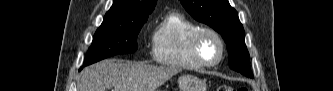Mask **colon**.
I'll return each instance as SVG.
<instances>
[{"label":"colon","instance_id":"obj_1","mask_svg":"<svg viewBox=\"0 0 333 91\" xmlns=\"http://www.w3.org/2000/svg\"><path fill=\"white\" fill-rule=\"evenodd\" d=\"M234 89L228 85H220L217 88V91H233ZM240 91H245V88H240Z\"/></svg>","mask_w":333,"mask_h":91}]
</instances>
